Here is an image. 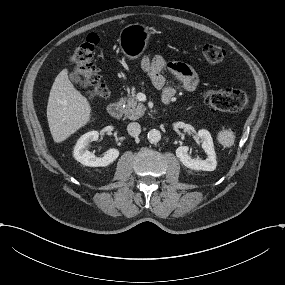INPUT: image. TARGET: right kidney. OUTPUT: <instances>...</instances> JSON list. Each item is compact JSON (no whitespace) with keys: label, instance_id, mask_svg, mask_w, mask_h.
<instances>
[{"label":"right kidney","instance_id":"1","mask_svg":"<svg viewBox=\"0 0 285 285\" xmlns=\"http://www.w3.org/2000/svg\"><path fill=\"white\" fill-rule=\"evenodd\" d=\"M98 140L99 133L97 131H90L81 136L74 148L75 160L89 167H103L115 161L120 154L117 148H109L103 157H96L92 152L87 150L90 142Z\"/></svg>","mask_w":285,"mask_h":285}]
</instances>
